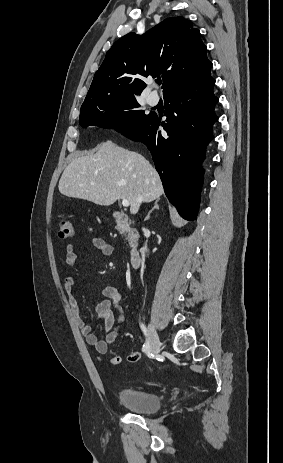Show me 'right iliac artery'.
Wrapping results in <instances>:
<instances>
[{
	"mask_svg": "<svg viewBox=\"0 0 283 463\" xmlns=\"http://www.w3.org/2000/svg\"><path fill=\"white\" fill-rule=\"evenodd\" d=\"M140 327H141V329H142L144 335L147 337V329H146V327L144 326V324H140ZM149 349H150L149 340L146 339V343L143 345L142 351H143V352H147V351H149Z\"/></svg>",
	"mask_w": 283,
	"mask_h": 463,
	"instance_id": "right-iliac-artery-1",
	"label": "right iliac artery"
}]
</instances>
